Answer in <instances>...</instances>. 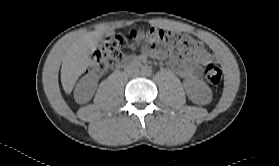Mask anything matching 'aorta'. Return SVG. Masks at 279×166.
<instances>
[{
	"mask_svg": "<svg viewBox=\"0 0 279 166\" xmlns=\"http://www.w3.org/2000/svg\"><path fill=\"white\" fill-rule=\"evenodd\" d=\"M141 74L143 76H150L152 74V69L149 66H143L141 68Z\"/></svg>",
	"mask_w": 279,
	"mask_h": 166,
	"instance_id": "762f6f07",
	"label": "aorta"
}]
</instances>
